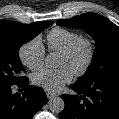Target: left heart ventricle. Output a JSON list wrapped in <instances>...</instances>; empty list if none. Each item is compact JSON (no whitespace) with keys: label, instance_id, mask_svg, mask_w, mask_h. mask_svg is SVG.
Returning <instances> with one entry per match:
<instances>
[{"label":"left heart ventricle","instance_id":"1","mask_svg":"<svg viewBox=\"0 0 119 119\" xmlns=\"http://www.w3.org/2000/svg\"><path fill=\"white\" fill-rule=\"evenodd\" d=\"M86 58V51L84 48H81L75 56L68 58L63 55H60L58 66L60 68L66 67L69 68L73 73L81 67Z\"/></svg>","mask_w":119,"mask_h":119}]
</instances>
